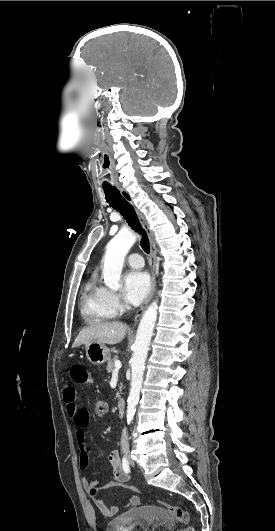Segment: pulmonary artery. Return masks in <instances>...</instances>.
Listing matches in <instances>:
<instances>
[{
  "instance_id": "1",
  "label": "pulmonary artery",
  "mask_w": 275,
  "mask_h": 531,
  "mask_svg": "<svg viewBox=\"0 0 275 531\" xmlns=\"http://www.w3.org/2000/svg\"><path fill=\"white\" fill-rule=\"evenodd\" d=\"M125 260L130 266H137L138 268L143 266L142 257L136 253H133L132 256H129Z\"/></svg>"
}]
</instances>
